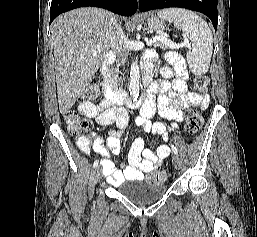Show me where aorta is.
<instances>
[{"mask_svg":"<svg viewBox=\"0 0 257 237\" xmlns=\"http://www.w3.org/2000/svg\"><path fill=\"white\" fill-rule=\"evenodd\" d=\"M140 69L137 61H133L130 69V85L129 91L130 95L137 99L140 92Z\"/></svg>","mask_w":257,"mask_h":237,"instance_id":"1","label":"aorta"}]
</instances>
